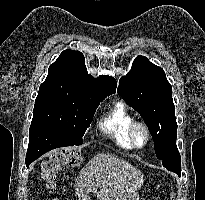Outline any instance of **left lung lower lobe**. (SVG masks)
I'll use <instances>...</instances> for the list:
<instances>
[{
	"instance_id": "1",
	"label": "left lung lower lobe",
	"mask_w": 205,
	"mask_h": 200,
	"mask_svg": "<svg viewBox=\"0 0 205 200\" xmlns=\"http://www.w3.org/2000/svg\"><path fill=\"white\" fill-rule=\"evenodd\" d=\"M175 151H176V156L174 158L161 160V162H162V165L166 167L168 170L175 172L180 176L181 175V161H180V155H179V152L176 146V140H175Z\"/></svg>"
}]
</instances>
